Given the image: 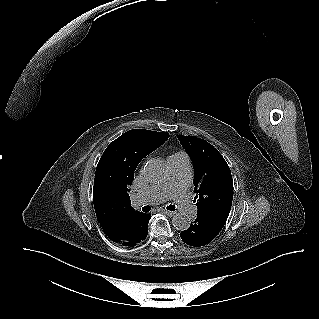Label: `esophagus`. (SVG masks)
<instances>
[{
  "label": "esophagus",
  "mask_w": 319,
  "mask_h": 319,
  "mask_svg": "<svg viewBox=\"0 0 319 319\" xmlns=\"http://www.w3.org/2000/svg\"><path fill=\"white\" fill-rule=\"evenodd\" d=\"M162 212H163L164 214L170 216V217L175 214V212H173V211H167V210H163Z\"/></svg>",
  "instance_id": "1"
}]
</instances>
